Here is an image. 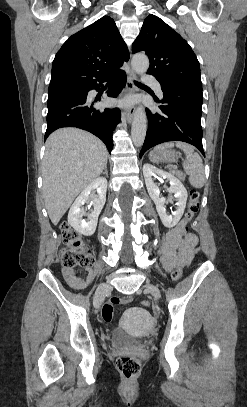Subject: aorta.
Wrapping results in <instances>:
<instances>
[{"label": "aorta", "instance_id": "obj_1", "mask_svg": "<svg viewBox=\"0 0 247 407\" xmlns=\"http://www.w3.org/2000/svg\"><path fill=\"white\" fill-rule=\"evenodd\" d=\"M131 66L137 74H143L148 70L149 60L144 53H137L133 55L131 60ZM147 118L145 109L138 107L134 112L131 128V138L135 146H141L144 143Z\"/></svg>", "mask_w": 247, "mask_h": 407}]
</instances>
